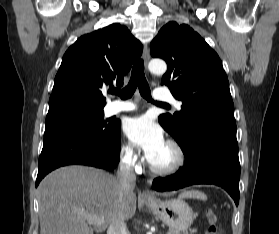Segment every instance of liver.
<instances>
[{"mask_svg":"<svg viewBox=\"0 0 279 234\" xmlns=\"http://www.w3.org/2000/svg\"><path fill=\"white\" fill-rule=\"evenodd\" d=\"M38 194L40 234H94L136 212L133 188L124 191L116 177L92 167L57 169L42 180ZM86 215L103 222L91 224Z\"/></svg>","mask_w":279,"mask_h":234,"instance_id":"liver-1","label":"liver"}]
</instances>
